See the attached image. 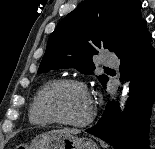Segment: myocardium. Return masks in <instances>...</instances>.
I'll list each match as a JSON object with an SVG mask.
<instances>
[{"label": "myocardium", "mask_w": 155, "mask_h": 149, "mask_svg": "<svg viewBox=\"0 0 155 149\" xmlns=\"http://www.w3.org/2000/svg\"><path fill=\"white\" fill-rule=\"evenodd\" d=\"M68 85H72V86H77L79 88H81L89 97L90 102H91V111L89 113V115L81 120V121H70V120H66L64 119L53 107L52 103H51V96L53 94V92L58 89L59 87L62 86H68ZM41 107L43 112L50 118L52 119L54 122L59 123L61 125H65V126H71V127H84L88 124H90L96 115V107L91 99V95L89 92V89L87 87V85L80 79H75V78H61V79H57L52 81L44 90L43 94H42V98H41Z\"/></svg>", "instance_id": "obj_1"}]
</instances>
